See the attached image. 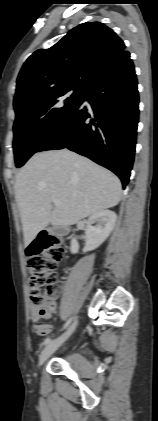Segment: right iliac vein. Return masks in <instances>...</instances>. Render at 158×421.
Masks as SVG:
<instances>
[{
  "label": "right iliac vein",
  "instance_id": "obj_1",
  "mask_svg": "<svg viewBox=\"0 0 158 421\" xmlns=\"http://www.w3.org/2000/svg\"><path fill=\"white\" fill-rule=\"evenodd\" d=\"M77 325V320H75L69 328L58 338L50 341L42 350L39 356V365H42L73 333Z\"/></svg>",
  "mask_w": 158,
  "mask_h": 421
}]
</instances>
